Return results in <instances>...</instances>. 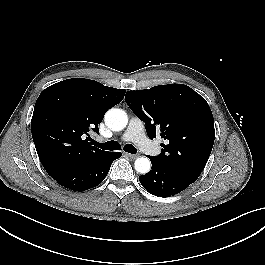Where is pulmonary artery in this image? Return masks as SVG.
<instances>
[{
  "label": "pulmonary artery",
  "mask_w": 265,
  "mask_h": 265,
  "mask_svg": "<svg viewBox=\"0 0 265 265\" xmlns=\"http://www.w3.org/2000/svg\"><path fill=\"white\" fill-rule=\"evenodd\" d=\"M123 140L133 141L140 148H149L152 146L145 136V129L143 123L135 117L130 120L129 126L123 136ZM152 153L155 155L158 154L159 149H153Z\"/></svg>",
  "instance_id": "e3ab8cb5"
}]
</instances>
